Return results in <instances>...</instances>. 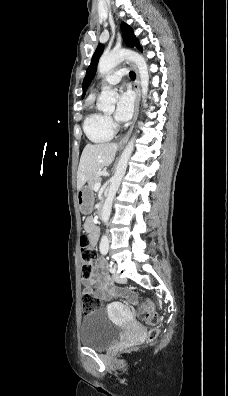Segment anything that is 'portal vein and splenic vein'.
<instances>
[{
    "instance_id": "18ae733b",
    "label": "portal vein and splenic vein",
    "mask_w": 228,
    "mask_h": 396,
    "mask_svg": "<svg viewBox=\"0 0 228 396\" xmlns=\"http://www.w3.org/2000/svg\"><path fill=\"white\" fill-rule=\"evenodd\" d=\"M100 186H101V183H100V182H99V183H96V184L94 185V190H95V191H98L99 188H100Z\"/></svg>"
}]
</instances>
